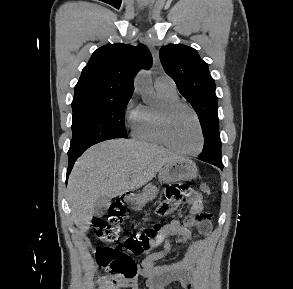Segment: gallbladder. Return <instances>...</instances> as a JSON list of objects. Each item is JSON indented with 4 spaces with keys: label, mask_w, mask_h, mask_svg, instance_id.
<instances>
[{
    "label": "gallbladder",
    "mask_w": 293,
    "mask_h": 289,
    "mask_svg": "<svg viewBox=\"0 0 293 289\" xmlns=\"http://www.w3.org/2000/svg\"><path fill=\"white\" fill-rule=\"evenodd\" d=\"M110 202L111 199L109 197H99L94 204V215L97 217H102L105 214L107 208L109 207Z\"/></svg>",
    "instance_id": "bac80fb5"
}]
</instances>
